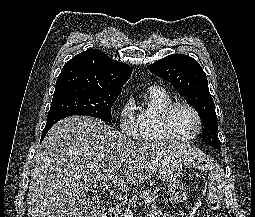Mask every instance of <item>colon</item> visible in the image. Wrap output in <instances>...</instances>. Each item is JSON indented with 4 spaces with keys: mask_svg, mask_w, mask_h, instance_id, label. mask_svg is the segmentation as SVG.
Returning a JSON list of instances; mask_svg holds the SVG:
<instances>
[{
    "mask_svg": "<svg viewBox=\"0 0 255 217\" xmlns=\"http://www.w3.org/2000/svg\"><path fill=\"white\" fill-rule=\"evenodd\" d=\"M186 198V190L179 182L171 183L168 191V199L171 203H181ZM208 205L212 210L218 209L220 205V193L215 185H211L208 191Z\"/></svg>",
    "mask_w": 255,
    "mask_h": 217,
    "instance_id": "5ec220e1",
    "label": "colon"
}]
</instances>
